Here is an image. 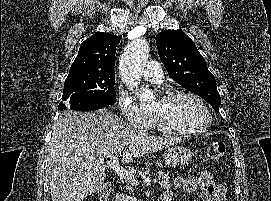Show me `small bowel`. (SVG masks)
Segmentation results:
<instances>
[{"instance_id":"small-bowel-1","label":"small bowel","mask_w":271,"mask_h":201,"mask_svg":"<svg viewBox=\"0 0 271 201\" xmlns=\"http://www.w3.org/2000/svg\"><path fill=\"white\" fill-rule=\"evenodd\" d=\"M175 188H182L186 193H193L201 190L203 201H226L225 189L222 184L216 182L208 172H201L199 175L188 177H177L174 180ZM173 195V190L164 192Z\"/></svg>"}]
</instances>
